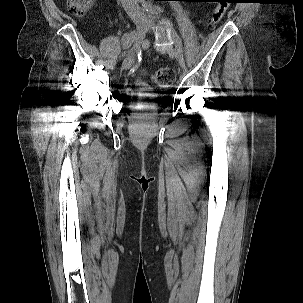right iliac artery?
<instances>
[{"label":"right iliac artery","instance_id":"right-iliac-artery-1","mask_svg":"<svg viewBox=\"0 0 303 303\" xmlns=\"http://www.w3.org/2000/svg\"><path fill=\"white\" fill-rule=\"evenodd\" d=\"M126 55V52H124V54L122 56H125Z\"/></svg>","mask_w":303,"mask_h":303}]
</instances>
